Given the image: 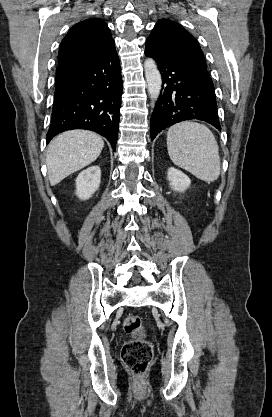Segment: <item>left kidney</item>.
<instances>
[{
    "label": "left kidney",
    "instance_id": "1",
    "mask_svg": "<svg viewBox=\"0 0 272 417\" xmlns=\"http://www.w3.org/2000/svg\"><path fill=\"white\" fill-rule=\"evenodd\" d=\"M167 178L171 189L177 192H184L191 184L190 178L174 167L168 169Z\"/></svg>",
    "mask_w": 272,
    "mask_h": 417
}]
</instances>
